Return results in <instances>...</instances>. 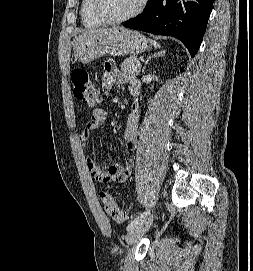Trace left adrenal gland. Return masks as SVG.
<instances>
[{"label": "left adrenal gland", "mask_w": 253, "mask_h": 271, "mask_svg": "<svg viewBox=\"0 0 253 271\" xmlns=\"http://www.w3.org/2000/svg\"><path fill=\"white\" fill-rule=\"evenodd\" d=\"M165 52H166V51H163V50H162V51H159V52L154 53L153 55L149 56L148 59L145 61V65H144V67H143V69H142V73H144V71H145V69H146V66H147L148 62H149L152 58L158 57V56H164V55H165Z\"/></svg>", "instance_id": "1"}]
</instances>
